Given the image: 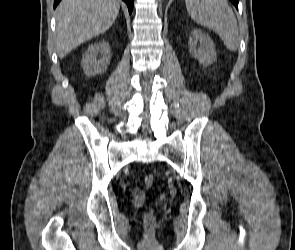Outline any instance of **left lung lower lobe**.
<instances>
[{"mask_svg": "<svg viewBox=\"0 0 295 250\" xmlns=\"http://www.w3.org/2000/svg\"><path fill=\"white\" fill-rule=\"evenodd\" d=\"M234 5L235 7L238 9V2L239 0H230Z\"/></svg>", "mask_w": 295, "mask_h": 250, "instance_id": "0a47b994", "label": "left lung lower lobe"}]
</instances>
